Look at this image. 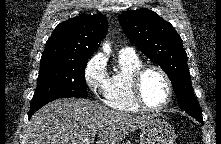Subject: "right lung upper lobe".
Instances as JSON below:
<instances>
[{
    "instance_id": "right-lung-upper-lobe-1",
    "label": "right lung upper lobe",
    "mask_w": 221,
    "mask_h": 144,
    "mask_svg": "<svg viewBox=\"0 0 221 144\" xmlns=\"http://www.w3.org/2000/svg\"><path fill=\"white\" fill-rule=\"evenodd\" d=\"M108 30L105 16L82 14L57 25L47 40L42 59L87 60Z\"/></svg>"
}]
</instances>
